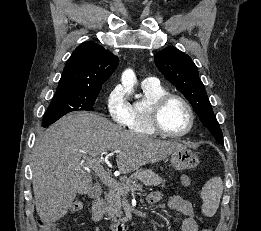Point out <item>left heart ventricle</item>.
Masks as SVG:
<instances>
[{"instance_id":"b2bd125f","label":"left heart ventricle","mask_w":261,"mask_h":231,"mask_svg":"<svg viewBox=\"0 0 261 231\" xmlns=\"http://www.w3.org/2000/svg\"><path fill=\"white\" fill-rule=\"evenodd\" d=\"M161 121L164 129L168 132H182L189 124L186 107L177 99L170 100L162 110Z\"/></svg>"}]
</instances>
